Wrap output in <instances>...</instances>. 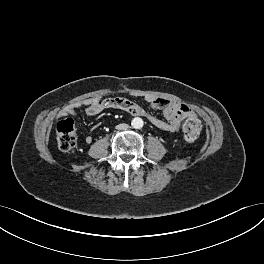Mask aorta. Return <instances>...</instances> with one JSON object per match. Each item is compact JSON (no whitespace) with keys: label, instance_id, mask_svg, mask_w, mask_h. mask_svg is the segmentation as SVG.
Instances as JSON below:
<instances>
[{"label":"aorta","instance_id":"obj_1","mask_svg":"<svg viewBox=\"0 0 264 264\" xmlns=\"http://www.w3.org/2000/svg\"><path fill=\"white\" fill-rule=\"evenodd\" d=\"M131 125L135 129H140L144 125L143 119L140 118V117H135V118L132 119Z\"/></svg>","mask_w":264,"mask_h":264}]
</instances>
